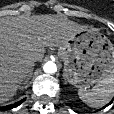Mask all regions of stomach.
I'll return each mask as SVG.
<instances>
[{
  "mask_svg": "<svg viewBox=\"0 0 114 114\" xmlns=\"http://www.w3.org/2000/svg\"><path fill=\"white\" fill-rule=\"evenodd\" d=\"M64 77L79 88H87L114 71V46L102 33L84 29L73 34L59 48Z\"/></svg>",
  "mask_w": 114,
  "mask_h": 114,
  "instance_id": "obj_1",
  "label": "stomach"
}]
</instances>
